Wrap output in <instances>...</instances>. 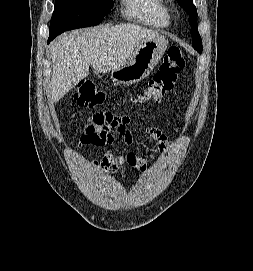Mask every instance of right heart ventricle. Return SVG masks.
Returning a JSON list of instances; mask_svg holds the SVG:
<instances>
[{
  "instance_id": "1",
  "label": "right heart ventricle",
  "mask_w": 253,
  "mask_h": 271,
  "mask_svg": "<svg viewBox=\"0 0 253 271\" xmlns=\"http://www.w3.org/2000/svg\"><path fill=\"white\" fill-rule=\"evenodd\" d=\"M127 16L146 25L164 28L170 24V8L166 0H122Z\"/></svg>"
}]
</instances>
